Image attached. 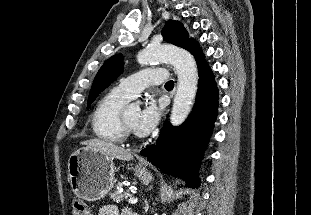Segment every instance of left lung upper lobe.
Masks as SVG:
<instances>
[{
    "instance_id": "left-lung-upper-lobe-1",
    "label": "left lung upper lobe",
    "mask_w": 311,
    "mask_h": 215,
    "mask_svg": "<svg viewBox=\"0 0 311 215\" xmlns=\"http://www.w3.org/2000/svg\"><path fill=\"white\" fill-rule=\"evenodd\" d=\"M162 35L165 41L184 49H188L193 42L192 39H188V33L179 21H167L162 30ZM122 60L123 56L116 54L102 65L92 84L88 105L123 72L124 63Z\"/></svg>"
}]
</instances>
